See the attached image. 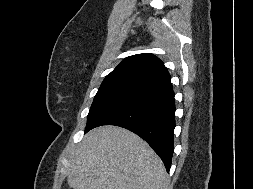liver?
Here are the masks:
<instances>
[{
  "instance_id": "1",
  "label": "liver",
  "mask_w": 253,
  "mask_h": 189,
  "mask_svg": "<svg viewBox=\"0 0 253 189\" xmlns=\"http://www.w3.org/2000/svg\"><path fill=\"white\" fill-rule=\"evenodd\" d=\"M165 178L162 160L143 139L101 126L77 146L67 182L73 189H163Z\"/></svg>"
}]
</instances>
